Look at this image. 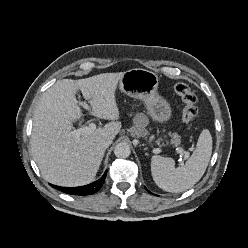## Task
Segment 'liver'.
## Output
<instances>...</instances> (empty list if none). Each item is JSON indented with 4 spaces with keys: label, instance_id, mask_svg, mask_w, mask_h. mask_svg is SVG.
Wrapping results in <instances>:
<instances>
[{
    "label": "liver",
    "instance_id": "obj_1",
    "mask_svg": "<svg viewBox=\"0 0 248 248\" xmlns=\"http://www.w3.org/2000/svg\"><path fill=\"white\" fill-rule=\"evenodd\" d=\"M123 74L58 80L43 93L33 117L31 152L45 180L58 186H81L94 180L105 153L98 140H113L121 129L115 92ZM78 90L89 101L93 115L111 122L73 138V122L82 116Z\"/></svg>",
    "mask_w": 248,
    "mask_h": 248
}]
</instances>
